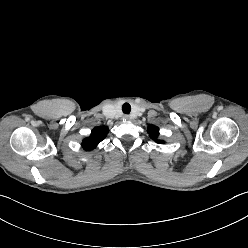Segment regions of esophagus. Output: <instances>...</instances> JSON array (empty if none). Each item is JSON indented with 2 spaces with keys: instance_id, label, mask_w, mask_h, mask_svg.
I'll return each instance as SVG.
<instances>
[{
  "instance_id": "obj_1",
  "label": "esophagus",
  "mask_w": 248,
  "mask_h": 248,
  "mask_svg": "<svg viewBox=\"0 0 248 248\" xmlns=\"http://www.w3.org/2000/svg\"><path fill=\"white\" fill-rule=\"evenodd\" d=\"M123 119H125V120H130L131 117H130L129 115L126 114V115L123 116Z\"/></svg>"
}]
</instances>
